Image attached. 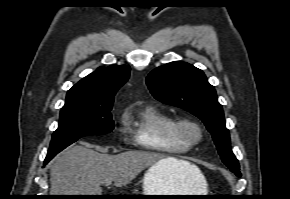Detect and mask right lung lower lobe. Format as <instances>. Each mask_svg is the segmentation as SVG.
Returning a JSON list of instances; mask_svg holds the SVG:
<instances>
[{
    "label": "right lung lower lobe",
    "instance_id": "98d812e1",
    "mask_svg": "<svg viewBox=\"0 0 290 199\" xmlns=\"http://www.w3.org/2000/svg\"><path fill=\"white\" fill-rule=\"evenodd\" d=\"M53 157H46L44 161V165H46Z\"/></svg>",
    "mask_w": 290,
    "mask_h": 199
}]
</instances>
